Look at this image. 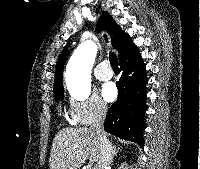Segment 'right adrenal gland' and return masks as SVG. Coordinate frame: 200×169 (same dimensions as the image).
<instances>
[{
    "instance_id": "1",
    "label": "right adrenal gland",
    "mask_w": 200,
    "mask_h": 169,
    "mask_svg": "<svg viewBox=\"0 0 200 169\" xmlns=\"http://www.w3.org/2000/svg\"><path fill=\"white\" fill-rule=\"evenodd\" d=\"M118 151H119V148H118V149H116L115 147H113V155H114V156H116V155H117Z\"/></svg>"
}]
</instances>
